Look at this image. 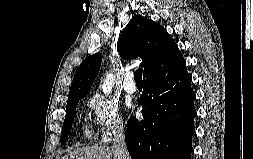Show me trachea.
Instances as JSON below:
<instances>
[{
    "label": "trachea",
    "instance_id": "obj_1",
    "mask_svg": "<svg viewBox=\"0 0 253 159\" xmlns=\"http://www.w3.org/2000/svg\"><path fill=\"white\" fill-rule=\"evenodd\" d=\"M134 79H135L136 83L143 81L142 80V69L141 68L135 71V73H134Z\"/></svg>",
    "mask_w": 253,
    "mask_h": 159
}]
</instances>
